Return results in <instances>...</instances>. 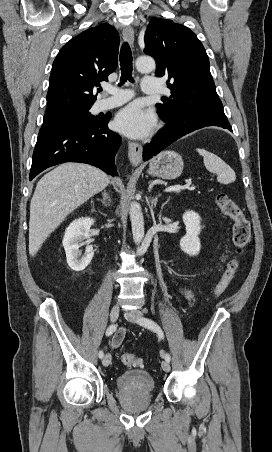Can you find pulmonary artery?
Listing matches in <instances>:
<instances>
[{
  "label": "pulmonary artery",
  "instance_id": "e3ab8cb5",
  "mask_svg": "<svg viewBox=\"0 0 272 452\" xmlns=\"http://www.w3.org/2000/svg\"><path fill=\"white\" fill-rule=\"evenodd\" d=\"M142 89L145 94H156L159 92V82L157 78L145 77L142 80ZM105 92L112 93V96L103 98L95 103L96 111H103L122 105L132 97V93L125 90L106 87Z\"/></svg>",
  "mask_w": 272,
  "mask_h": 452
}]
</instances>
